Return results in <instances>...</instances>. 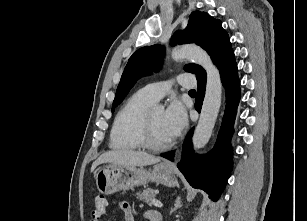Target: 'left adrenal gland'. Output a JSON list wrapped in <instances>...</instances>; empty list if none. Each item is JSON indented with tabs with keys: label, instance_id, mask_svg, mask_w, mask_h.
Returning <instances> with one entry per match:
<instances>
[{
	"label": "left adrenal gland",
	"instance_id": "left-adrenal-gland-1",
	"mask_svg": "<svg viewBox=\"0 0 307 221\" xmlns=\"http://www.w3.org/2000/svg\"><path fill=\"white\" fill-rule=\"evenodd\" d=\"M182 206V203H181V197H177L176 201H175V204H174V207L171 209L170 211V215L176 211L178 208H180Z\"/></svg>",
	"mask_w": 307,
	"mask_h": 221
}]
</instances>
